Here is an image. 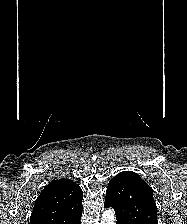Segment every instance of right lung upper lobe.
Listing matches in <instances>:
<instances>
[{
    "mask_svg": "<svg viewBox=\"0 0 187 224\" xmlns=\"http://www.w3.org/2000/svg\"><path fill=\"white\" fill-rule=\"evenodd\" d=\"M83 193L70 179L49 183L37 198L30 224H69L82 213Z\"/></svg>",
    "mask_w": 187,
    "mask_h": 224,
    "instance_id": "cb5924a9",
    "label": "right lung upper lobe"
}]
</instances>
